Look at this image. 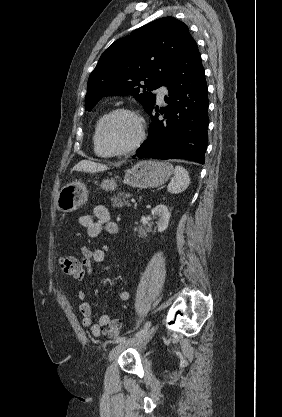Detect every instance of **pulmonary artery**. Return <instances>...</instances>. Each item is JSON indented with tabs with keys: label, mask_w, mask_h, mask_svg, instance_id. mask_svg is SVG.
Returning <instances> with one entry per match:
<instances>
[{
	"label": "pulmonary artery",
	"mask_w": 282,
	"mask_h": 417,
	"mask_svg": "<svg viewBox=\"0 0 282 417\" xmlns=\"http://www.w3.org/2000/svg\"><path fill=\"white\" fill-rule=\"evenodd\" d=\"M166 94H167V90H166V88H165V87H161V88L158 90V99H159V100H162Z\"/></svg>",
	"instance_id": "e3ab8cb5"
}]
</instances>
